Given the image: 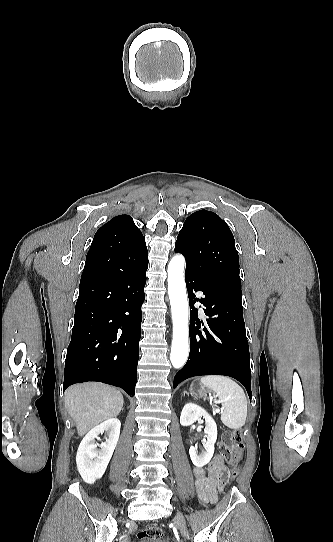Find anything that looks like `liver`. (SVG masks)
<instances>
[{"mask_svg":"<svg viewBox=\"0 0 333 542\" xmlns=\"http://www.w3.org/2000/svg\"><path fill=\"white\" fill-rule=\"evenodd\" d=\"M123 404V396L119 390L96 382L76 384L65 392V406L76 422L79 436H85L104 420L117 418Z\"/></svg>","mask_w":333,"mask_h":542,"instance_id":"1","label":"liver"}]
</instances>
